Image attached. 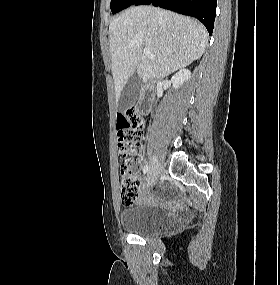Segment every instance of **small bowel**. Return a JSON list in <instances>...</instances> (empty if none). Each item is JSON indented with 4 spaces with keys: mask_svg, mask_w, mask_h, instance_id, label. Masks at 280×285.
I'll use <instances>...</instances> for the list:
<instances>
[{
    "mask_svg": "<svg viewBox=\"0 0 280 285\" xmlns=\"http://www.w3.org/2000/svg\"><path fill=\"white\" fill-rule=\"evenodd\" d=\"M135 164L136 165H140L141 164V161L140 160H136L135 161ZM135 179L139 182L140 184V188L138 190V193H137V197L140 201H146V202H149V203H157L160 201V198L152 193H149L145 190L144 186L141 184V180L139 179L138 176H134ZM160 191H163V188L161 187L160 188Z\"/></svg>",
    "mask_w": 280,
    "mask_h": 285,
    "instance_id": "obj_1",
    "label": "small bowel"
}]
</instances>
